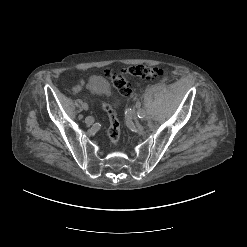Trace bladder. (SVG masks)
I'll use <instances>...</instances> for the list:
<instances>
[{"label": "bladder", "mask_w": 247, "mask_h": 247, "mask_svg": "<svg viewBox=\"0 0 247 247\" xmlns=\"http://www.w3.org/2000/svg\"><path fill=\"white\" fill-rule=\"evenodd\" d=\"M88 87L94 96L104 99L109 106L113 107V103L110 102V86L105 78L102 76L92 77L89 81Z\"/></svg>", "instance_id": "31cf9c89"}]
</instances>
